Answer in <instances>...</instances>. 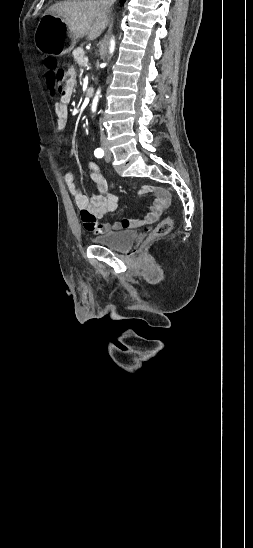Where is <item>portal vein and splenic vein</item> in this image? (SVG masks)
<instances>
[{"label": "portal vein and splenic vein", "instance_id": "obj_1", "mask_svg": "<svg viewBox=\"0 0 253 548\" xmlns=\"http://www.w3.org/2000/svg\"><path fill=\"white\" fill-rule=\"evenodd\" d=\"M87 63H88V57H84V58L82 59V64H83V65H87Z\"/></svg>", "mask_w": 253, "mask_h": 548}]
</instances>
